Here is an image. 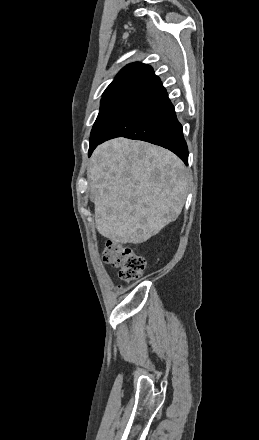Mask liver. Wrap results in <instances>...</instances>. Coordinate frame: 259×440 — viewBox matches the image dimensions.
<instances>
[{"instance_id": "liver-1", "label": "liver", "mask_w": 259, "mask_h": 440, "mask_svg": "<svg viewBox=\"0 0 259 440\" xmlns=\"http://www.w3.org/2000/svg\"><path fill=\"white\" fill-rule=\"evenodd\" d=\"M97 231L117 244H140L180 215L188 173L171 151L116 138L98 146L87 170Z\"/></svg>"}]
</instances>
